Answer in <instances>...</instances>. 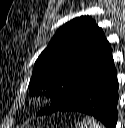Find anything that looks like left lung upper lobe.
<instances>
[{
	"label": "left lung upper lobe",
	"instance_id": "5c2ea615",
	"mask_svg": "<svg viewBox=\"0 0 125 128\" xmlns=\"http://www.w3.org/2000/svg\"><path fill=\"white\" fill-rule=\"evenodd\" d=\"M110 50L103 30L91 17L64 24L35 62L29 90L35 95L37 89L46 88L45 95L52 98L51 105L38 115L67 105L85 74Z\"/></svg>",
	"mask_w": 125,
	"mask_h": 128
}]
</instances>
